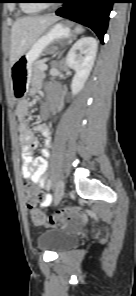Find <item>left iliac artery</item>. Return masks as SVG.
Listing matches in <instances>:
<instances>
[{"mask_svg":"<svg viewBox=\"0 0 136 296\" xmlns=\"http://www.w3.org/2000/svg\"><path fill=\"white\" fill-rule=\"evenodd\" d=\"M52 182L49 180L48 181V184H47V188H46V193H49L50 192V188H51V184ZM51 203V202H50Z\"/></svg>","mask_w":136,"mask_h":296,"instance_id":"44dca946","label":"left iliac artery"}]
</instances>
